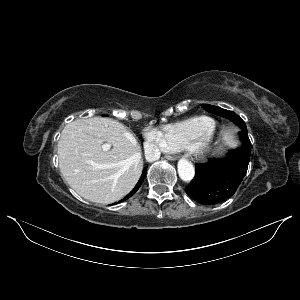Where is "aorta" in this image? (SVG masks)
I'll list each match as a JSON object with an SVG mask.
<instances>
[{"mask_svg":"<svg viewBox=\"0 0 300 300\" xmlns=\"http://www.w3.org/2000/svg\"><path fill=\"white\" fill-rule=\"evenodd\" d=\"M177 169L179 177L185 182H190L195 176L193 164L186 159H180L178 161Z\"/></svg>","mask_w":300,"mask_h":300,"instance_id":"762f6f07","label":"aorta"}]
</instances>
